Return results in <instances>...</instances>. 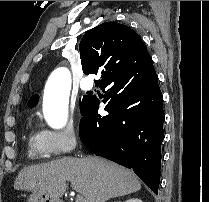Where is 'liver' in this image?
<instances>
[{"mask_svg":"<svg viewBox=\"0 0 209 202\" xmlns=\"http://www.w3.org/2000/svg\"><path fill=\"white\" fill-rule=\"evenodd\" d=\"M66 181L84 196L85 202H105L141 189V183L132 171L90 155L63 157L25 167L18 173L14 189L59 199L65 193Z\"/></svg>","mask_w":209,"mask_h":202,"instance_id":"1","label":"liver"}]
</instances>
